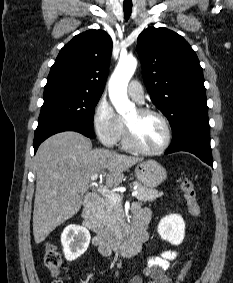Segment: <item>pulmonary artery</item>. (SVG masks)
Listing matches in <instances>:
<instances>
[{
    "instance_id": "obj_1",
    "label": "pulmonary artery",
    "mask_w": 233,
    "mask_h": 283,
    "mask_svg": "<svg viewBox=\"0 0 233 283\" xmlns=\"http://www.w3.org/2000/svg\"><path fill=\"white\" fill-rule=\"evenodd\" d=\"M129 96L137 103H143L144 101V92L142 86L137 81H131L128 86Z\"/></svg>"
}]
</instances>
